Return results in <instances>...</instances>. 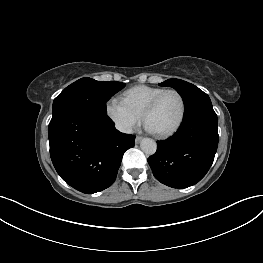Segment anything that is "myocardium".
<instances>
[{
    "label": "myocardium",
    "instance_id": "myocardium-1",
    "mask_svg": "<svg viewBox=\"0 0 263 263\" xmlns=\"http://www.w3.org/2000/svg\"><path fill=\"white\" fill-rule=\"evenodd\" d=\"M175 93L178 95L180 102H181V113H180V117L178 119V121L176 122V124L169 130L165 131V132H154L158 137L160 138H167L172 136L173 134H175L179 128L181 127L184 119H185V115H186V101L185 98L183 96V94L175 89V88H168V89H164L162 92H160L159 94H157L146 106V108L143 111L142 114V119L144 121V124L147 126V118L150 115V113L156 108V106L158 105L159 101L162 99V97L164 95H166L167 93Z\"/></svg>",
    "mask_w": 263,
    "mask_h": 263
}]
</instances>
